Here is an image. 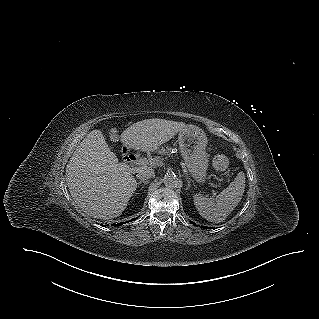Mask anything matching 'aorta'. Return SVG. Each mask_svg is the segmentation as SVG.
I'll return each instance as SVG.
<instances>
[{"label":"aorta","instance_id":"obj_1","mask_svg":"<svg viewBox=\"0 0 319 319\" xmlns=\"http://www.w3.org/2000/svg\"><path fill=\"white\" fill-rule=\"evenodd\" d=\"M163 183L168 188H177L180 184L178 178L176 177L174 173H167L163 177Z\"/></svg>","mask_w":319,"mask_h":319}]
</instances>
